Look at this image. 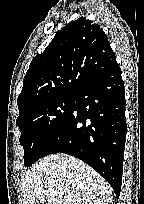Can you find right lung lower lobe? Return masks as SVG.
Returning <instances> with one entry per match:
<instances>
[{
  "instance_id": "right-lung-lower-lobe-1",
  "label": "right lung lower lobe",
  "mask_w": 144,
  "mask_h": 204,
  "mask_svg": "<svg viewBox=\"0 0 144 204\" xmlns=\"http://www.w3.org/2000/svg\"><path fill=\"white\" fill-rule=\"evenodd\" d=\"M125 140V89L116 62L75 96L72 112L43 157L66 153L79 158L104 177L119 198Z\"/></svg>"
}]
</instances>
